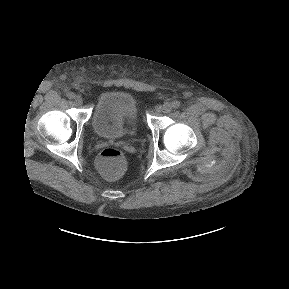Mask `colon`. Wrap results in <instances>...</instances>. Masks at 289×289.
Wrapping results in <instances>:
<instances>
[{"mask_svg":"<svg viewBox=\"0 0 289 289\" xmlns=\"http://www.w3.org/2000/svg\"><path fill=\"white\" fill-rule=\"evenodd\" d=\"M96 166L104 177L115 179L123 174L126 167V158L121 150L107 147L98 155Z\"/></svg>","mask_w":289,"mask_h":289,"instance_id":"colon-1","label":"colon"}]
</instances>
